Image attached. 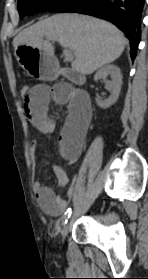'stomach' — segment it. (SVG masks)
I'll use <instances>...</instances> for the list:
<instances>
[{
	"label": "stomach",
	"mask_w": 148,
	"mask_h": 279,
	"mask_svg": "<svg viewBox=\"0 0 148 279\" xmlns=\"http://www.w3.org/2000/svg\"><path fill=\"white\" fill-rule=\"evenodd\" d=\"M26 47L27 50H22ZM15 59L22 67L21 75L33 78V82H58V62L38 48L19 46L15 50Z\"/></svg>",
	"instance_id": "obj_1"
}]
</instances>
